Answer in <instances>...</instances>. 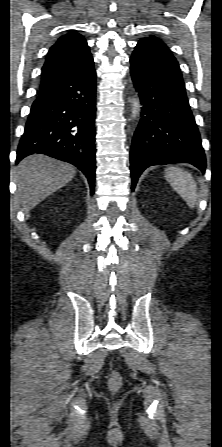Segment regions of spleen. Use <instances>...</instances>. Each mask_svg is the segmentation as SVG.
<instances>
[{"instance_id": "1", "label": "spleen", "mask_w": 222, "mask_h": 447, "mask_svg": "<svg viewBox=\"0 0 222 447\" xmlns=\"http://www.w3.org/2000/svg\"><path fill=\"white\" fill-rule=\"evenodd\" d=\"M166 178L174 190L183 198L190 208L197 202V185L194 178L179 167L166 169Z\"/></svg>"}]
</instances>
